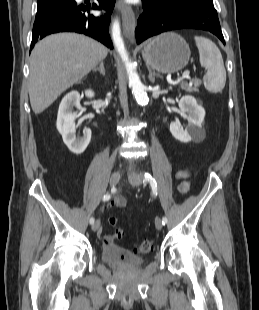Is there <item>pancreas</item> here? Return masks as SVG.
I'll return each mask as SVG.
<instances>
[{"label":"pancreas","mask_w":259,"mask_h":310,"mask_svg":"<svg viewBox=\"0 0 259 310\" xmlns=\"http://www.w3.org/2000/svg\"><path fill=\"white\" fill-rule=\"evenodd\" d=\"M201 84V80L200 79H193L191 84H188L187 82H182L181 83V88L185 91L188 92H198V87Z\"/></svg>","instance_id":"obj_1"}]
</instances>
